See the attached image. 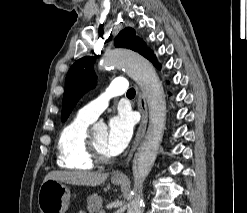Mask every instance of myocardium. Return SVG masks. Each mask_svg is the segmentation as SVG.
Masks as SVG:
<instances>
[{
    "label": "myocardium",
    "mask_w": 247,
    "mask_h": 213,
    "mask_svg": "<svg viewBox=\"0 0 247 213\" xmlns=\"http://www.w3.org/2000/svg\"><path fill=\"white\" fill-rule=\"evenodd\" d=\"M85 152L87 158L95 164H107L110 163L113 158L111 156H103L97 150L92 135L88 134L85 140Z\"/></svg>",
    "instance_id": "f54148a6"
}]
</instances>
